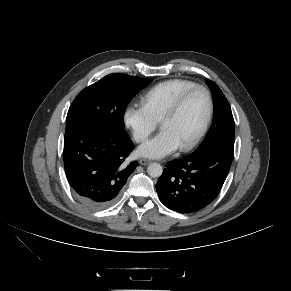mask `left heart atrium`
Here are the masks:
<instances>
[{"instance_id":"1","label":"left heart atrium","mask_w":291,"mask_h":291,"mask_svg":"<svg viewBox=\"0 0 291 291\" xmlns=\"http://www.w3.org/2000/svg\"><path fill=\"white\" fill-rule=\"evenodd\" d=\"M179 147L174 135L168 130H162L158 135L143 143L138 153L147 158H162Z\"/></svg>"}]
</instances>
